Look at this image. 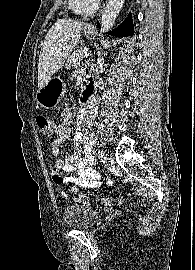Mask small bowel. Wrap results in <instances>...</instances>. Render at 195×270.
<instances>
[{
  "mask_svg": "<svg viewBox=\"0 0 195 270\" xmlns=\"http://www.w3.org/2000/svg\"><path fill=\"white\" fill-rule=\"evenodd\" d=\"M88 80H94L88 75ZM95 115V101L89 106L79 108L76 116L77 130L74 134L75 152L64 159L59 157V146L71 135L73 113L70 107L63 112L62 121L54 128V138L49 143V150L54 157V164L51 170L53 182L59 186V193L62 198L68 199L69 195L62 187L63 184H70L72 191L76 194L75 202H83L85 194L80 188H99L102 185V174L97 171L95 165L94 143L95 134L92 130V122ZM62 172L75 175L63 176ZM108 183H112L108 181Z\"/></svg>",
  "mask_w": 195,
  "mask_h": 270,
  "instance_id": "c3829d8e",
  "label": "small bowel"
}]
</instances>
